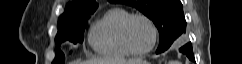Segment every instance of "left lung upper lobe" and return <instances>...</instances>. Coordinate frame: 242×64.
Segmentation results:
<instances>
[{
  "label": "left lung upper lobe",
  "mask_w": 242,
  "mask_h": 64,
  "mask_svg": "<svg viewBox=\"0 0 242 64\" xmlns=\"http://www.w3.org/2000/svg\"><path fill=\"white\" fill-rule=\"evenodd\" d=\"M135 7L157 26L160 43L156 53L167 50L173 41L186 32V20L180 0H108Z\"/></svg>",
  "instance_id": "left-lung-upper-lobe-1"
}]
</instances>
